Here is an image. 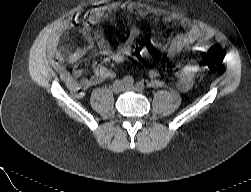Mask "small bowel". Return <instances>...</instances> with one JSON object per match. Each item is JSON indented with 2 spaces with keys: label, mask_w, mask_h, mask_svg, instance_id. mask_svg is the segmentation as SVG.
I'll use <instances>...</instances> for the list:
<instances>
[{
  "label": "small bowel",
  "mask_w": 251,
  "mask_h": 192,
  "mask_svg": "<svg viewBox=\"0 0 251 192\" xmlns=\"http://www.w3.org/2000/svg\"><path fill=\"white\" fill-rule=\"evenodd\" d=\"M96 22L97 21L94 20L93 24H95ZM165 23L168 25L180 27L185 31L183 34L178 35L171 43L167 52L168 58L170 60L178 62L185 47L189 44L194 45L191 49L192 58L176 73L178 90L182 93H185L191 90L193 86L195 77L199 72V66L196 64V61L199 59L201 53L207 47L210 37L198 26L186 20L179 22H172L170 20H167L165 21ZM69 30V28H64L61 31L60 35H56L52 38L50 45V51L52 53H56L57 51L56 45L60 36L62 34L68 33ZM95 33L99 38V47L101 49V52L111 57L114 61L121 63L127 56L130 55L129 47L120 46L115 51H112L107 42L102 37L101 33L99 31H96ZM89 50V47L74 49L68 52L66 61L70 64H75L80 61L89 52ZM56 68L61 76V79L64 81L73 96L76 98H82L89 88L97 86L104 81L113 78L115 75L114 71L104 64H99L97 66L94 75L82 78H76L73 73L66 67L63 60H59L56 63ZM149 77L151 79L153 87L162 88L164 86V82L160 79L158 71L151 70L149 72Z\"/></svg>",
  "instance_id": "c3829d8e"
}]
</instances>
